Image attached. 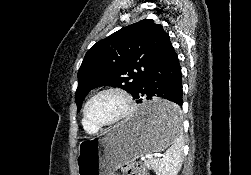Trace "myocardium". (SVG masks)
I'll list each match as a JSON object with an SVG mask.
<instances>
[{
  "label": "myocardium",
  "mask_w": 251,
  "mask_h": 175,
  "mask_svg": "<svg viewBox=\"0 0 251 175\" xmlns=\"http://www.w3.org/2000/svg\"><path fill=\"white\" fill-rule=\"evenodd\" d=\"M109 91L119 92L123 96L125 104H126V110H125V113L123 114V116L114 123H111L108 125H103V124H99L96 122H92V127L97 130H105V129L117 127V126L123 124L124 122H126L127 120H129L135 111L134 101L126 89H124L120 86H109V87H105V88L98 90L88 99V101L86 102L84 109H83V121L84 122L89 121L88 111H89V106H90L91 102L100 94L105 93V92H109Z\"/></svg>",
  "instance_id": "1"
}]
</instances>
